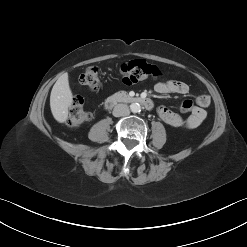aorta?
<instances>
[{
	"mask_svg": "<svg viewBox=\"0 0 247 247\" xmlns=\"http://www.w3.org/2000/svg\"><path fill=\"white\" fill-rule=\"evenodd\" d=\"M130 109H131V111H132L133 113H138V112L141 111V106H140L139 103H132V104L130 105Z\"/></svg>",
	"mask_w": 247,
	"mask_h": 247,
	"instance_id": "aorta-1",
	"label": "aorta"
}]
</instances>
